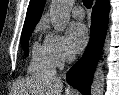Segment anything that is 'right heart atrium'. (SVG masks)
Returning a JSON list of instances; mask_svg holds the SVG:
<instances>
[{"instance_id": "obj_1", "label": "right heart atrium", "mask_w": 119, "mask_h": 95, "mask_svg": "<svg viewBox=\"0 0 119 95\" xmlns=\"http://www.w3.org/2000/svg\"><path fill=\"white\" fill-rule=\"evenodd\" d=\"M44 42L55 67H62L73 58V54L64 36L49 32Z\"/></svg>"}]
</instances>
